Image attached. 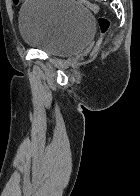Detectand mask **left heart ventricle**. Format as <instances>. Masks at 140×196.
<instances>
[{
    "label": "left heart ventricle",
    "mask_w": 140,
    "mask_h": 196,
    "mask_svg": "<svg viewBox=\"0 0 140 196\" xmlns=\"http://www.w3.org/2000/svg\"><path fill=\"white\" fill-rule=\"evenodd\" d=\"M45 192H57V191H45Z\"/></svg>",
    "instance_id": "b2bd125f"
}]
</instances>
